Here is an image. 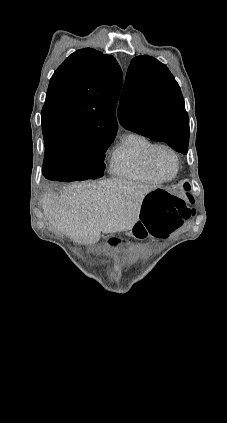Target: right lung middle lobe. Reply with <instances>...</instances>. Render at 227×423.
Listing matches in <instances>:
<instances>
[{
	"label": "right lung middle lobe",
	"instance_id": "dd1d6c3e",
	"mask_svg": "<svg viewBox=\"0 0 227 423\" xmlns=\"http://www.w3.org/2000/svg\"><path fill=\"white\" fill-rule=\"evenodd\" d=\"M115 136H74L45 142L44 163L71 168V179L82 181L103 176L105 152Z\"/></svg>",
	"mask_w": 227,
	"mask_h": 423
}]
</instances>
